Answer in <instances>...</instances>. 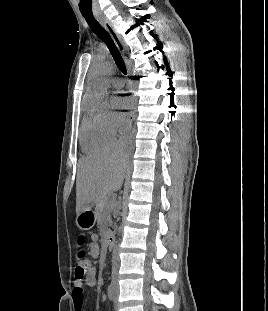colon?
Instances as JSON below:
<instances>
[{
  "mask_svg": "<svg viewBox=\"0 0 268 311\" xmlns=\"http://www.w3.org/2000/svg\"><path fill=\"white\" fill-rule=\"evenodd\" d=\"M84 243V238L81 237L79 239V244L82 245ZM90 268V261L86 256V252L84 250H80L76 255V267H75V278L76 280H82L88 273Z\"/></svg>",
  "mask_w": 268,
  "mask_h": 311,
  "instance_id": "1",
  "label": "colon"
}]
</instances>
